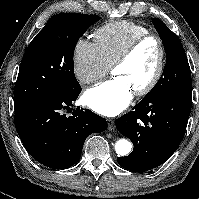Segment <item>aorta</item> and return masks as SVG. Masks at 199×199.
I'll use <instances>...</instances> for the list:
<instances>
[{
  "label": "aorta",
  "mask_w": 199,
  "mask_h": 199,
  "mask_svg": "<svg viewBox=\"0 0 199 199\" xmlns=\"http://www.w3.org/2000/svg\"><path fill=\"white\" fill-rule=\"evenodd\" d=\"M132 144L126 139H119L115 144V151L120 156H126L131 152Z\"/></svg>",
  "instance_id": "aorta-1"
}]
</instances>
